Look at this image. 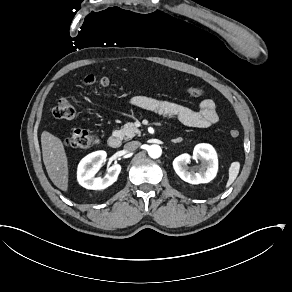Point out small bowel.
Masks as SVG:
<instances>
[{"label":"small bowel","mask_w":292,"mask_h":292,"mask_svg":"<svg viewBox=\"0 0 292 292\" xmlns=\"http://www.w3.org/2000/svg\"><path fill=\"white\" fill-rule=\"evenodd\" d=\"M132 105L170 117H176L184 125L195 128H206L219 121L216 105L211 99L200 102L198 110L186 106L159 100L144 95H135L131 98Z\"/></svg>","instance_id":"obj_1"}]
</instances>
